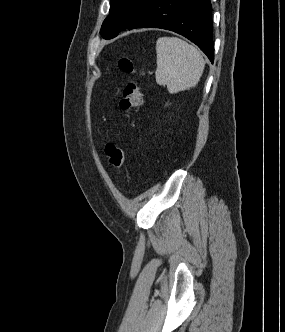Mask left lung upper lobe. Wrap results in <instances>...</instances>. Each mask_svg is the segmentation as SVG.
Returning <instances> with one entry per match:
<instances>
[{"mask_svg": "<svg viewBox=\"0 0 285 332\" xmlns=\"http://www.w3.org/2000/svg\"><path fill=\"white\" fill-rule=\"evenodd\" d=\"M153 0H111L110 14L104 20L100 34L111 39L127 27Z\"/></svg>", "mask_w": 285, "mask_h": 332, "instance_id": "obj_1", "label": "left lung upper lobe"}]
</instances>
